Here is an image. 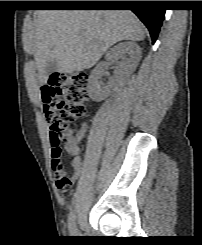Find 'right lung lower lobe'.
<instances>
[{"instance_id":"right-lung-lower-lobe-1","label":"right lung lower lobe","mask_w":202,"mask_h":245,"mask_svg":"<svg viewBox=\"0 0 202 245\" xmlns=\"http://www.w3.org/2000/svg\"><path fill=\"white\" fill-rule=\"evenodd\" d=\"M82 7H131V10L145 24L150 32L152 43H154L159 34L160 27L165 14L158 1H80Z\"/></svg>"}]
</instances>
